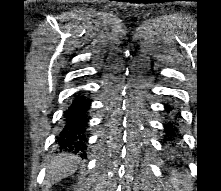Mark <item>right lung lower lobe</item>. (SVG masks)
<instances>
[{"label": "right lung lower lobe", "instance_id": "1", "mask_svg": "<svg viewBox=\"0 0 221 191\" xmlns=\"http://www.w3.org/2000/svg\"><path fill=\"white\" fill-rule=\"evenodd\" d=\"M90 104L91 101L85 95L80 93L73 95L72 103L63 116V128L56 140L60 149L86 155L85 132L89 122Z\"/></svg>", "mask_w": 221, "mask_h": 191}]
</instances>
